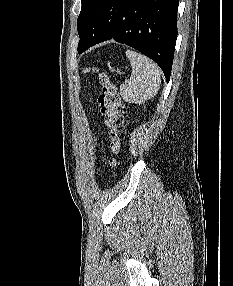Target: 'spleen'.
I'll use <instances>...</instances> for the list:
<instances>
[{
    "label": "spleen",
    "instance_id": "1",
    "mask_svg": "<svg viewBox=\"0 0 233 286\" xmlns=\"http://www.w3.org/2000/svg\"><path fill=\"white\" fill-rule=\"evenodd\" d=\"M132 73L129 81L120 85V94L128 103L141 104L156 95L160 84V69L148 57L132 50L126 51Z\"/></svg>",
    "mask_w": 233,
    "mask_h": 286
}]
</instances>
